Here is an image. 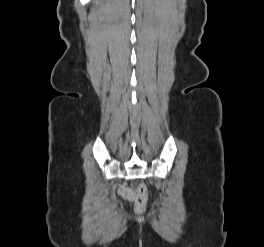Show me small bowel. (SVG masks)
<instances>
[{
    "instance_id": "c3829d8e",
    "label": "small bowel",
    "mask_w": 264,
    "mask_h": 247,
    "mask_svg": "<svg viewBox=\"0 0 264 247\" xmlns=\"http://www.w3.org/2000/svg\"><path fill=\"white\" fill-rule=\"evenodd\" d=\"M122 190H123L124 193H126V194H130V190H129V189H125V188H123Z\"/></svg>"
}]
</instances>
